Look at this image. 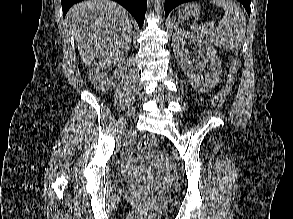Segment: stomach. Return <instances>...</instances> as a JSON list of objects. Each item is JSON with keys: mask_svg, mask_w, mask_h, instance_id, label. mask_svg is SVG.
Wrapping results in <instances>:
<instances>
[{"mask_svg": "<svg viewBox=\"0 0 293 219\" xmlns=\"http://www.w3.org/2000/svg\"><path fill=\"white\" fill-rule=\"evenodd\" d=\"M200 7L196 3L187 4L179 12V16L182 19H188L190 17H196L199 15Z\"/></svg>", "mask_w": 293, "mask_h": 219, "instance_id": "stomach-1", "label": "stomach"}]
</instances>
